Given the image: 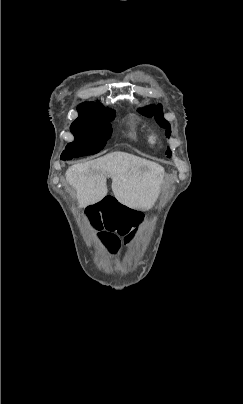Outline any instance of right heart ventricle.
<instances>
[{
    "label": "right heart ventricle",
    "instance_id": "obj_1",
    "mask_svg": "<svg viewBox=\"0 0 243 404\" xmlns=\"http://www.w3.org/2000/svg\"><path fill=\"white\" fill-rule=\"evenodd\" d=\"M127 139L132 143L143 144V145H154L156 143V138L153 133L149 132L138 126L137 124H132L126 135Z\"/></svg>",
    "mask_w": 243,
    "mask_h": 404
}]
</instances>
